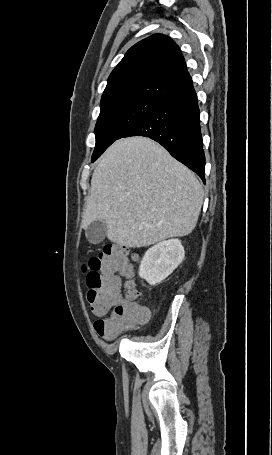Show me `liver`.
<instances>
[{"label": "liver", "mask_w": 272, "mask_h": 455, "mask_svg": "<svg viewBox=\"0 0 272 455\" xmlns=\"http://www.w3.org/2000/svg\"><path fill=\"white\" fill-rule=\"evenodd\" d=\"M195 174L146 137L117 140L91 179L83 227L104 222L108 239L138 248L195 228L203 203Z\"/></svg>", "instance_id": "6515ba94"}]
</instances>
